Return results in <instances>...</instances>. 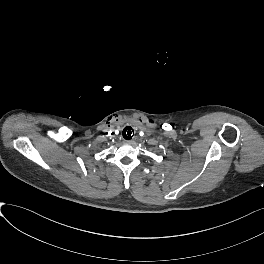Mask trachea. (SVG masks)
<instances>
[{"mask_svg":"<svg viewBox=\"0 0 264 264\" xmlns=\"http://www.w3.org/2000/svg\"><path fill=\"white\" fill-rule=\"evenodd\" d=\"M123 137L124 139L126 140H130L132 138V136L134 135V130L132 127L130 126H126L124 129H123Z\"/></svg>","mask_w":264,"mask_h":264,"instance_id":"trachea-1","label":"trachea"}]
</instances>
